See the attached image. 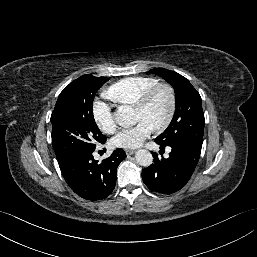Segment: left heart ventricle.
Masks as SVG:
<instances>
[{
    "mask_svg": "<svg viewBox=\"0 0 257 257\" xmlns=\"http://www.w3.org/2000/svg\"><path fill=\"white\" fill-rule=\"evenodd\" d=\"M169 108V98L166 92H159L143 111L134 110L135 121H144L152 129L159 126L166 118Z\"/></svg>",
    "mask_w": 257,
    "mask_h": 257,
    "instance_id": "left-heart-ventricle-1",
    "label": "left heart ventricle"
}]
</instances>
